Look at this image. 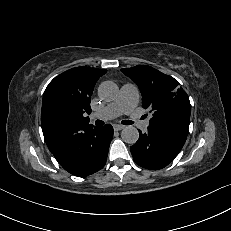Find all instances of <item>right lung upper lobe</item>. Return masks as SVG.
<instances>
[{
    "mask_svg": "<svg viewBox=\"0 0 231 231\" xmlns=\"http://www.w3.org/2000/svg\"><path fill=\"white\" fill-rule=\"evenodd\" d=\"M106 70L76 67L54 78L42 102L41 124L51 153L65 147L73 133L89 125L90 99L97 80Z\"/></svg>",
    "mask_w": 231,
    "mask_h": 231,
    "instance_id": "1",
    "label": "right lung upper lobe"
}]
</instances>
